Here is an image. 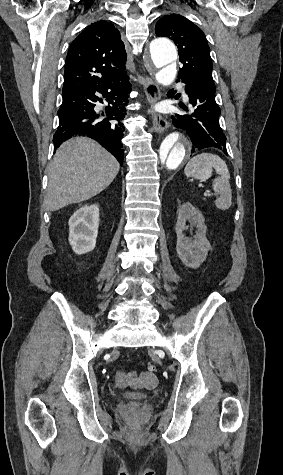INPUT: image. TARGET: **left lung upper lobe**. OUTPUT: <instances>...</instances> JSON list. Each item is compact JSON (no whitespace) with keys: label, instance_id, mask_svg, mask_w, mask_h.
I'll list each match as a JSON object with an SVG mask.
<instances>
[{"label":"left lung upper lobe","instance_id":"left-lung-upper-lobe-1","mask_svg":"<svg viewBox=\"0 0 283 475\" xmlns=\"http://www.w3.org/2000/svg\"><path fill=\"white\" fill-rule=\"evenodd\" d=\"M157 36L171 38L177 44L179 61L178 78L215 86L212 78V60L203 31L179 14L163 16L155 27Z\"/></svg>","mask_w":283,"mask_h":475}]
</instances>
